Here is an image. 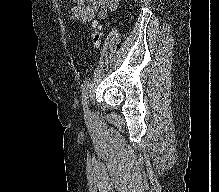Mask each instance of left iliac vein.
<instances>
[{"mask_svg": "<svg viewBox=\"0 0 219 192\" xmlns=\"http://www.w3.org/2000/svg\"><path fill=\"white\" fill-rule=\"evenodd\" d=\"M84 111H85V114H86V115H89L90 112H89V110H88V105H87V107H84Z\"/></svg>", "mask_w": 219, "mask_h": 192, "instance_id": "left-iliac-vein-1", "label": "left iliac vein"}]
</instances>
